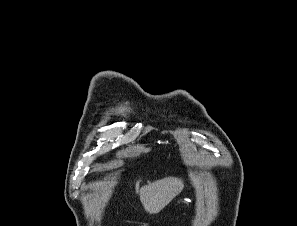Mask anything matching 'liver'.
Segmentation results:
<instances>
[{"mask_svg":"<svg viewBox=\"0 0 297 226\" xmlns=\"http://www.w3.org/2000/svg\"><path fill=\"white\" fill-rule=\"evenodd\" d=\"M183 187V181L174 177L148 183L140 189L141 203L148 213H159L182 191Z\"/></svg>","mask_w":297,"mask_h":226,"instance_id":"liver-1","label":"liver"}]
</instances>
